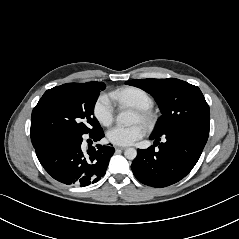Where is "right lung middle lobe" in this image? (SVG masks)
Segmentation results:
<instances>
[{"instance_id": "right-lung-middle-lobe-1", "label": "right lung middle lobe", "mask_w": 239, "mask_h": 239, "mask_svg": "<svg viewBox=\"0 0 239 239\" xmlns=\"http://www.w3.org/2000/svg\"><path fill=\"white\" fill-rule=\"evenodd\" d=\"M103 82L67 83L47 90L31 115L33 146L47 135L69 131L89 134L101 129L93 116Z\"/></svg>"}]
</instances>
